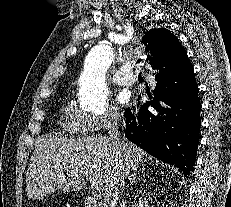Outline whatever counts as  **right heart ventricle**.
Masks as SVG:
<instances>
[{
    "instance_id": "1",
    "label": "right heart ventricle",
    "mask_w": 231,
    "mask_h": 207,
    "mask_svg": "<svg viewBox=\"0 0 231 207\" xmlns=\"http://www.w3.org/2000/svg\"><path fill=\"white\" fill-rule=\"evenodd\" d=\"M61 128L70 135H85L87 130L85 115L73 103H67L61 112Z\"/></svg>"
}]
</instances>
